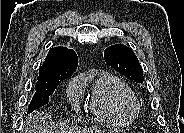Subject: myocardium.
I'll list each match as a JSON object with an SVG mask.
<instances>
[{"instance_id":"obj_1","label":"myocardium","mask_w":184,"mask_h":133,"mask_svg":"<svg viewBox=\"0 0 184 133\" xmlns=\"http://www.w3.org/2000/svg\"><path fill=\"white\" fill-rule=\"evenodd\" d=\"M135 109H136V111L139 110V104L137 102L135 103Z\"/></svg>"}]
</instances>
